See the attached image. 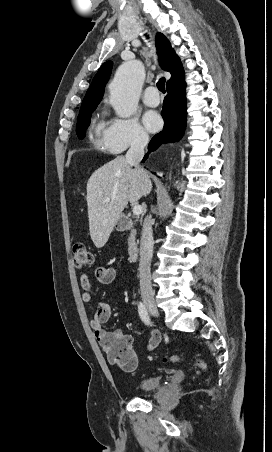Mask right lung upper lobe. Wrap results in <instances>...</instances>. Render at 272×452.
Listing matches in <instances>:
<instances>
[{
	"label": "right lung upper lobe",
	"mask_w": 272,
	"mask_h": 452,
	"mask_svg": "<svg viewBox=\"0 0 272 452\" xmlns=\"http://www.w3.org/2000/svg\"><path fill=\"white\" fill-rule=\"evenodd\" d=\"M156 48L160 57V65L163 70L171 73V78L167 81V87H170L184 79V72L179 57L171 47L168 39L161 33L156 35ZM112 63H104L95 75L85 97L82 106L99 104L101 101L105 85L110 77Z\"/></svg>",
	"instance_id": "1"
}]
</instances>
